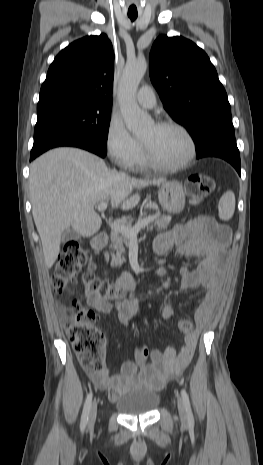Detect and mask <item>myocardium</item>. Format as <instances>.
Segmentation results:
<instances>
[{
  "mask_svg": "<svg viewBox=\"0 0 263 465\" xmlns=\"http://www.w3.org/2000/svg\"><path fill=\"white\" fill-rule=\"evenodd\" d=\"M154 125L157 128L171 127V128L178 129L187 138L190 149H189V153L187 157L182 162L169 165V164H164L160 162L154 156V154L152 153L148 145L145 142L141 141L143 154H144L147 164L154 169H157L160 171H166V172L179 171V170L187 168L192 163V161L195 159L196 154H197V144H196L195 138L193 137L192 133L184 125L174 120H161V121H157Z\"/></svg>",
  "mask_w": 263,
  "mask_h": 465,
  "instance_id": "myocardium-1",
  "label": "myocardium"
}]
</instances>
